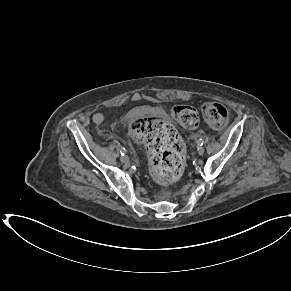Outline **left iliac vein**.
I'll use <instances>...</instances> for the list:
<instances>
[{
	"label": "left iliac vein",
	"instance_id": "4c4485c4",
	"mask_svg": "<svg viewBox=\"0 0 291 291\" xmlns=\"http://www.w3.org/2000/svg\"><path fill=\"white\" fill-rule=\"evenodd\" d=\"M197 152H198V154H199V155H203V154H204V152H205V149H204V147H202V146H199V147L197 148Z\"/></svg>",
	"mask_w": 291,
	"mask_h": 291
}]
</instances>
